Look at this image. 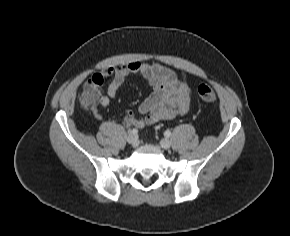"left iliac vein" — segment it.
<instances>
[{"instance_id": "obj_1", "label": "left iliac vein", "mask_w": 290, "mask_h": 236, "mask_svg": "<svg viewBox=\"0 0 290 236\" xmlns=\"http://www.w3.org/2000/svg\"><path fill=\"white\" fill-rule=\"evenodd\" d=\"M160 146L164 149H169L171 147V142L167 138H163L160 141Z\"/></svg>"}]
</instances>
